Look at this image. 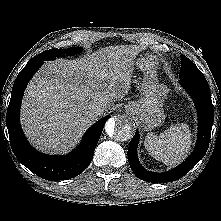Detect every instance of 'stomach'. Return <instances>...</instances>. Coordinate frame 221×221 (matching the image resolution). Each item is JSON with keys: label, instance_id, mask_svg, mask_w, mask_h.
Returning a JSON list of instances; mask_svg holds the SVG:
<instances>
[{"label": "stomach", "instance_id": "0dacf381", "mask_svg": "<svg viewBox=\"0 0 221 221\" xmlns=\"http://www.w3.org/2000/svg\"><path fill=\"white\" fill-rule=\"evenodd\" d=\"M136 67L143 73L140 84V98L129 102L126 113L134 118L144 130L160 126L165 114L163 103L167 98L168 88L157 80L158 60L149 52H142L136 59Z\"/></svg>", "mask_w": 221, "mask_h": 221}]
</instances>
